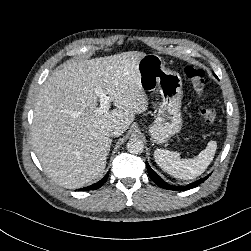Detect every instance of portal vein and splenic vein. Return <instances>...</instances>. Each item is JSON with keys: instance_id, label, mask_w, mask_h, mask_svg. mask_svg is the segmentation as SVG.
Masks as SVG:
<instances>
[{"instance_id": "obj_1", "label": "portal vein and splenic vein", "mask_w": 251, "mask_h": 251, "mask_svg": "<svg viewBox=\"0 0 251 251\" xmlns=\"http://www.w3.org/2000/svg\"><path fill=\"white\" fill-rule=\"evenodd\" d=\"M95 92L100 99V107L96 109V112L101 115L109 110L111 98L100 88H96Z\"/></svg>"}]
</instances>
